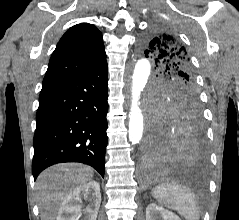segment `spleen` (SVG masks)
<instances>
[{
    "label": "spleen",
    "mask_w": 239,
    "mask_h": 220,
    "mask_svg": "<svg viewBox=\"0 0 239 220\" xmlns=\"http://www.w3.org/2000/svg\"><path fill=\"white\" fill-rule=\"evenodd\" d=\"M152 196L162 205L177 211L186 220H199L200 212L195 195L177 183H163L156 186Z\"/></svg>",
    "instance_id": "1"
}]
</instances>
